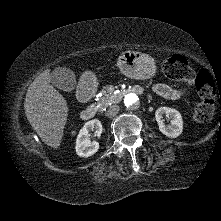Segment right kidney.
<instances>
[{
    "mask_svg": "<svg viewBox=\"0 0 221 221\" xmlns=\"http://www.w3.org/2000/svg\"><path fill=\"white\" fill-rule=\"evenodd\" d=\"M95 131V135L100 136L102 133V124L98 119L90 120L82 127L76 139V153L80 157H90L99 149V143L91 142L89 131Z\"/></svg>",
    "mask_w": 221,
    "mask_h": 221,
    "instance_id": "1",
    "label": "right kidney"
}]
</instances>
